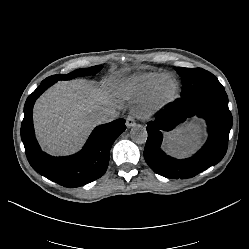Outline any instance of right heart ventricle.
Listing matches in <instances>:
<instances>
[{
	"mask_svg": "<svg viewBox=\"0 0 249 249\" xmlns=\"http://www.w3.org/2000/svg\"><path fill=\"white\" fill-rule=\"evenodd\" d=\"M166 75L169 72L165 70L138 73L127 79L124 89L128 96L138 97L147 93L157 80Z\"/></svg>",
	"mask_w": 249,
	"mask_h": 249,
	"instance_id": "1",
	"label": "right heart ventricle"
}]
</instances>
